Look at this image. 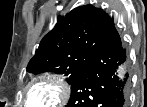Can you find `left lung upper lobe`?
<instances>
[{
  "instance_id": "5c2ea615",
  "label": "left lung upper lobe",
  "mask_w": 147,
  "mask_h": 107,
  "mask_svg": "<svg viewBox=\"0 0 147 107\" xmlns=\"http://www.w3.org/2000/svg\"><path fill=\"white\" fill-rule=\"evenodd\" d=\"M113 27V19L100 8L85 5L73 9L58 18L55 27L43 37L27 71L64 74L71 84Z\"/></svg>"
}]
</instances>
